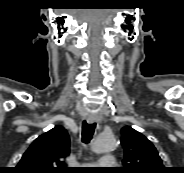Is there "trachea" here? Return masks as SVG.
<instances>
[{"instance_id": "3493384b", "label": "trachea", "mask_w": 184, "mask_h": 173, "mask_svg": "<svg viewBox=\"0 0 184 173\" xmlns=\"http://www.w3.org/2000/svg\"><path fill=\"white\" fill-rule=\"evenodd\" d=\"M96 128V123L88 124L86 121L83 122L82 126V141L87 144L93 137Z\"/></svg>"}]
</instances>
